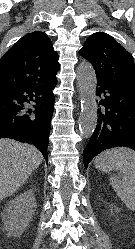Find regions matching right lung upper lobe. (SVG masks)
Returning a JSON list of instances; mask_svg holds the SVG:
<instances>
[{"label":"right lung upper lobe","instance_id":"right-lung-upper-lobe-1","mask_svg":"<svg viewBox=\"0 0 135 249\" xmlns=\"http://www.w3.org/2000/svg\"><path fill=\"white\" fill-rule=\"evenodd\" d=\"M58 58L45 32L26 34L0 59V89L55 79Z\"/></svg>","mask_w":135,"mask_h":249}]
</instances>
